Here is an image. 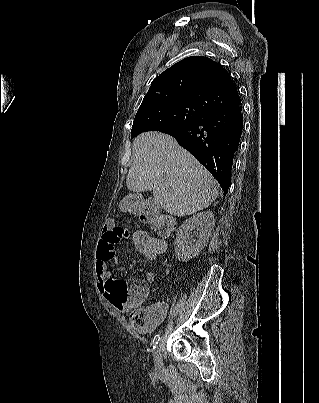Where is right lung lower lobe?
<instances>
[{"mask_svg": "<svg viewBox=\"0 0 319 403\" xmlns=\"http://www.w3.org/2000/svg\"><path fill=\"white\" fill-rule=\"evenodd\" d=\"M242 129L243 115L240 104L211 111L191 124L166 127L158 131L173 136L179 145L210 171L226 194Z\"/></svg>", "mask_w": 319, "mask_h": 403, "instance_id": "obj_1", "label": "right lung lower lobe"}]
</instances>
